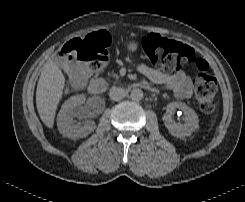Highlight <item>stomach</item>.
Masks as SVG:
<instances>
[{"label": "stomach", "instance_id": "0dacf381", "mask_svg": "<svg viewBox=\"0 0 245 202\" xmlns=\"http://www.w3.org/2000/svg\"><path fill=\"white\" fill-rule=\"evenodd\" d=\"M137 47H138L137 43H135V42H133V41L129 42V43L126 45L127 50L130 51V52L136 51V50H137Z\"/></svg>", "mask_w": 245, "mask_h": 202}]
</instances>
